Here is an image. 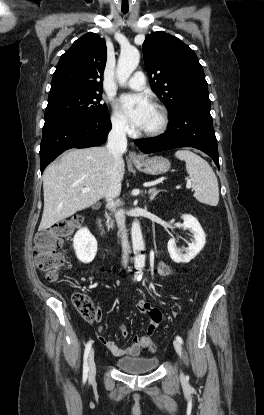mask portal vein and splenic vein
I'll use <instances>...</instances> for the list:
<instances>
[{
	"label": "portal vein and splenic vein",
	"instance_id": "portal-vein-and-splenic-vein-1",
	"mask_svg": "<svg viewBox=\"0 0 264 415\" xmlns=\"http://www.w3.org/2000/svg\"><path fill=\"white\" fill-rule=\"evenodd\" d=\"M191 187V181L190 180H187V188H190ZM90 191V188H84V189H82V192L83 193H86V192H89ZM111 203H109V205H110Z\"/></svg>",
	"mask_w": 264,
	"mask_h": 415
}]
</instances>
